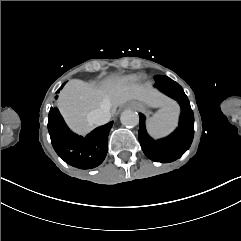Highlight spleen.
<instances>
[{"label": "spleen", "mask_w": 241, "mask_h": 241, "mask_svg": "<svg viewBox=\"0 0 241 241\" xmlns=\"http://www.w3.org/2000/svg\"><path fill=\"white\" fill-rule=\"evenodd\" d=\"M178 122V113L169 108H163L157 111L147 121L148 133L155 139L167 136L176 127Z\"/></svg>", "instance_id": "3e777b00"}]
</instances>
